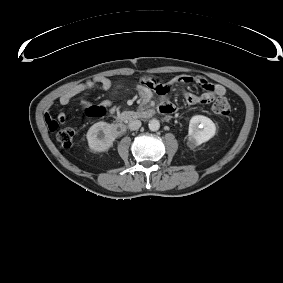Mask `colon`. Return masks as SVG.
Instances as JSON below:
<instances>
[{"instance_id": "5ec220e1", "label": "colon", "mask_w": 283, "mask_h": 283, "mask_svg": "<svg viewBox=\"0 0 283 283\" xmlns=\"http://www.w3.org/2000/svg\"><path fill=\"white\" fill-rule=\"evenodd\" d=\"M211 109L216 115L227 116L230 114L231 107L227 99L220 97L213 102ZM55 137L61 146L69 147L74 140V131L71 128H62L56 132Z\"/></svg>"}]
</instances>
